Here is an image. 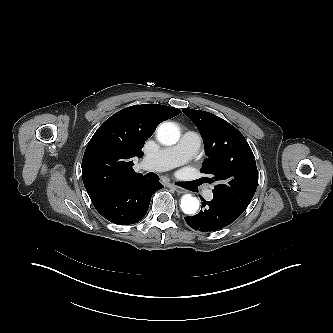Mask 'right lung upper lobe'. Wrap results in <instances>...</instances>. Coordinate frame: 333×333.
Listing matches in <instances>:
<instances>
[{
	"mask_svg": "<svg viewBox=\"0 0 333 333\" xmlns=\"http://www.w3.org/2000/svg\"><path fill=\"white\" fill-rule=\"evenodd\" d=\"M181 111L142 104L122 109L108 118L89 141L82 160V178L91 200L115 188L145 178L132 168L134 157L156 127Z\"/></svg>",
	"mask_w": 333,
	"mask_h": 333,
	"instance_id": "cb5924a9",
	"label": "right lung upper lobe"
}]
</instances>
